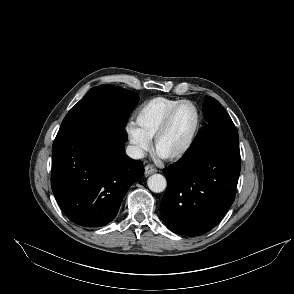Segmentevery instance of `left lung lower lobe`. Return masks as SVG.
Here are the masks:
<instances>
[{"label":"left lung lower lobe","mask_w":294,"mask_h":294,"mask_svg":"<svg viewBox=\"0 0 294 294\" xmlns=\"http://www.w3.org/2000/svg\"><path fill=\"white\" fill-rule=\"evenodd\" d=\"M238 141L234 125L202 129L183 157L163 170L167 190L161 215L169 230L202 235L223 219L240 174Z\"/></svg>","instance_id":"obj_1"}]
</instances>
